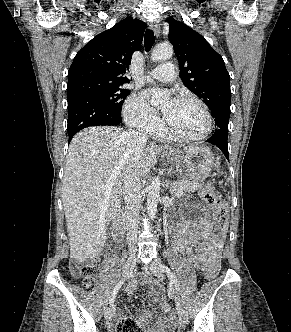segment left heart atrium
<instances>
[{"mask_svg": "<svg viewBox=\"0 0 291 332\" xmlns=\"http://www.w3.org/2000/svg\"><path fill=\"white\" fill-rule=\"evenodd\" d=\"M155 93H157V90L150 89V90L146 91L145 95H146V97H150V96L154 95ZM172 101H174V100H172Z\"/></svg>", "mask_w": 291, "mask_h": 332, "instance_id": "39dd6f15", "label": "left heart atrium"}]
</instances>
